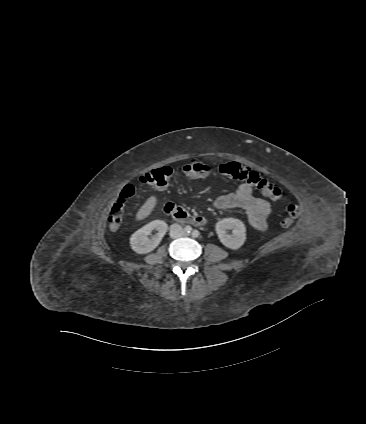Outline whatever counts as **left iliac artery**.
<instances>
[{
  "label": "left iliac artery",
  "mask_w": 366,
  "mask_h": 424,
  "mask_svg": "<svg viewBox=\"0 0 366 424\" xmlns=\"http://www.w3.org/2000/svg\"><path fill=\"white\" fill-rule=\"evenodd\" d=\"M199 235H200V233H199V231H198V230H193V231H192V236H193V237H195V238H196V237H199Z\"/></svg>",
  "instance_id": "obj_1"
}]
</instances>
